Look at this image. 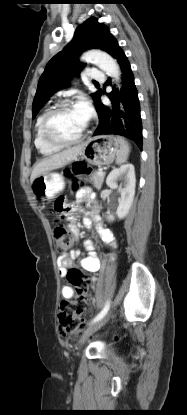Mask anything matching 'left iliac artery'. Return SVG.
Segmentation results:
<instances>
[{
    "label": "left iliac artery",
    "instance_id": "left-iliac-artery-1",
    "mask_svg": "<svg viewBox=\"0 0 187 415\" xmlns=\"http://www.w3.org/2000/svg\"><path fill=\"white\" fill-rule=\"evenodd\" d=\"M109 308H110V301H107L106 302V304H105V306H104V308L101 310V312L93 319V321L92 322H96V321H98V320H100L101 318H103L106 314H107V312H108V310H109Z\"/></svg>",
    "mask_w": 187,
    "mask_h": 415
}]
</instances>
